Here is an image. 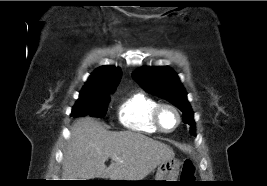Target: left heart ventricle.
<instances>
[{"label": "left heart ventricle", "mask_w": 267, "mask_h": 186, "mask_svg": "<svg viewBox=\"0 0 267 186\" xmlns=\"http://www.w3.org/2000/svg\"><path fill=\"white\" fill-rule=\"evenodd\" d=\"M176 122H177V117L175 112L169 108H165L161 113L162 126L165 129L170 130L175 126Z\"/></svg>", "instance_id": "b2bd125f"}]
</instances>
